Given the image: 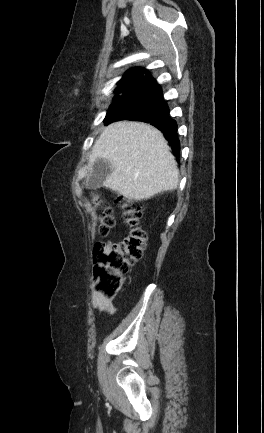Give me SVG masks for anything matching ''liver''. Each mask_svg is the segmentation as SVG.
I'll use <instances>...</instances> for the list:
<instances>
[{
  "label": "liver",
  "mask_w": 264,
  "mask_h": 433,
  "mask_svg": "<svg viewBox=\"0 0 264 433\" xmlns=\"http://www.w3.org/2000/svg\"><path fill=\"white\" fill-rule=\"evenodd\" d=\"M106 159L111 175L103 185L130 200H146L174 190L179 170L163 134L140 122L118 121L108 125L95 141L88 165Z\"/></svg>",
  "instance_id": "liver-1"
}]
</instances>
